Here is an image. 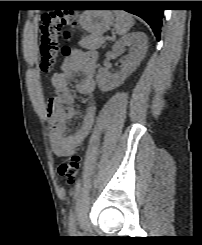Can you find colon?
Listing matches in <instances>:
<instances>
[{"mask_svg": "<svg viewBox=\"0 0 202 245\" xmlns=\"http://www.w3.org/2000/svg\"><path fill=\"white\" fill-rule=\"evenodd\" d=\"M66 14H45L40 23V68L43 73H50L55 65L57 57L69 40L70 32L67 29ZM71 51L66 50L64 55L68 57ZM81 168V157L78 153L71 156H62L58 167V173L66 182L73 184L78 177Z\"/></svg>", "mask_w": 202, "mask_h": 245, "instance_id": "colon-1", "label": "colon"}]
</instances>
